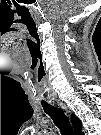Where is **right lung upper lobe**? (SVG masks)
<instances>
[{"label":"right lung upper lobe","instance_id":"obj_1","mask_svg":"<svg viewBox=\"0 0 101 135\" xmlns=\"http://www.w3.org/2000/svg\"><path fill=\"white\" fill-rule=\"evenodd\" d=\"M71 120H72V124H73V128H74L75 132L77 134H83L81 132V129H82L81 120L78 117H76L75 115L71 116Z\"/></svg>","mask_w":101,"mask_h":135}]
</instances>
